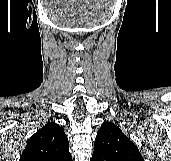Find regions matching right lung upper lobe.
<instances>
[{"label":"right lung upper lobe","mask_w":171,"mask_h":161,"mask_svg":"<svg viewBox=\"0 0 171 161\" xmlns=\"http://www.w3.org/2000/svg\"><path fill=\"white\" fill-rule=\"evenodd\" d=\"M19 161H72L64 130L49 122L27 142Z\"/></svg>","instance_id":"right-lung-upper-lobe-1"}]
</instances>
